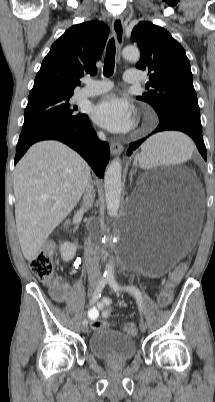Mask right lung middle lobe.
I'll use <instances>...</instances> for the list:
<instances>
[{"mask_svg": "<svg viewBox=\"0 0 215 402\" xmlns=\"http://www.w3.org/2000/svg\"><path fill=\"white\" fill-rule=\"evenodd\" d=\"M72 95L46 94L28 98L25 120L18 144L22 145L49 130L74 123L84 117L70 104Z\"/></svg>", "mask_w": 215, "mask_h": 402, "instance_id": "right-lung-middle-lobe-1", "label": "right lung middle lobe"}]
</instances>
